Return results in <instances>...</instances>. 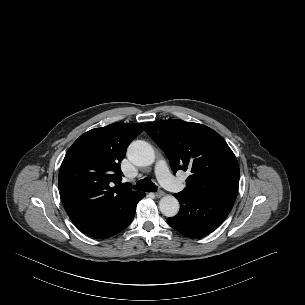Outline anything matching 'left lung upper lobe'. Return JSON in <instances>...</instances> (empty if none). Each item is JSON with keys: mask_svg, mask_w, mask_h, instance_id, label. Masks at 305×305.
Wrapping results in <instances>:
<instances>
[{"mask_svg": "<svg viewBox=\"0 0 305 305\" xmlns=\"http://www.w3.org/2000/svg\"><path fill=\"white\" fill-rule=\"evenodd\" d=\"M147 134L169 159L172 170H188L187 197L227 196L236 199L239 187L237 159L225 140L202 124L183 120L148 122Z\"/></svg>", "mask_w": 305, "mask_h": 305, "instance_id": "5c2ea615", "label": "left lung upper lobe"}]
</instances>
